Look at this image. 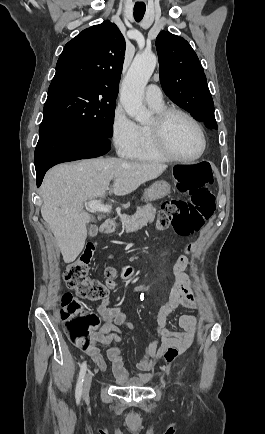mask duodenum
<instances>
[{
  "label": "duodenum",
  "mask_w": 265,
  "mask_h": 434,
  "mask_svg": "<svg viewBox=\"0 0 265 434\" xmlns=\"http://www.w3.org/2000/svg\"><path fill=\"white\" fill-rule=\"evenodd\" d=\"M114 230V224L110 223V222H105L103 223V225L100 228V232L104 233V234H109L111 232H113ZM126 276L128 277L129 274L127 272H125Z\"/></svg>",
  "instance_id": "obj_1"
}]
</instances>
